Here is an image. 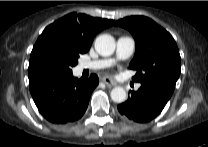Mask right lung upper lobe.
<instances>
[{
	"label": "right lung upper lobe",
	"instance_id": "right-lung-upper-lobe-1",
	"mask_svg": "<svg viewBox=\"0 0 208 147\" xmlns=\"http://www.w3.org/2000/svg\"><path fill=\"white\" fill-rule=\"evenodd\" d=\"M114 23L113 20L70 13L47 26L31 52L28 68L29 83L51 76L47 63L51 55L60 51L86 53L94 36Z\"/></svg>",
	"mask_w": 208,
	"mask_h": 147
}]
</instances>
